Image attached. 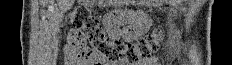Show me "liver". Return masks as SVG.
<instances>
[{
	"mask_svg": "<svg viewBox=\"0 0 232 65\" xmlns=\"http://www.w3.org/2000/svg\"><path fill=\"white\" fill-rule=\"evenodd\" d=\"M74 0H57L58 5L62 10H66L73 4Z\"/></svg>",
	"mask_w": 232,
	"mask_h": 65,
	"instance_id": "obj_1",
	"label": "liver"
}]
</instances>
